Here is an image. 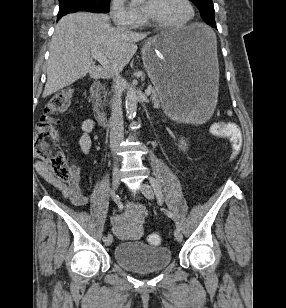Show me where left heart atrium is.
<instances>
[{"label":"left heart atrium","mask_w":286,"mask_h":308,"mask_svg":"<svg viewBox=\"0 0 286 308\" xmlns=\"http://www.w3.org/2000/svg\"><path fill=\"white\" fill-rule=\"evenodd\" d=\"M155 0H148L146 2H142L141 0H134L133 5L137 8L142 10L144 13L150 15Z\"/></svg>","instance_id":"1"}]
</instances>
